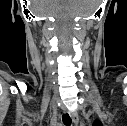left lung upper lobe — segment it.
<instances>
[{
	"label": "left lung upper lobe",
	"instance_id": "obj_1",
	"mask_svg": "<svg viewBox=\"0 0 127 126\" xmlns=\"http://www.w3.org/2000/svg\"><path fill=\"white\" fill-rule=\"evenodd\" d=\"M93 126H102V123L100 121H95L93 123Z\"/></svg>",
	"mask_w": 127,
	"mask_h": 126
}]
</instances>
